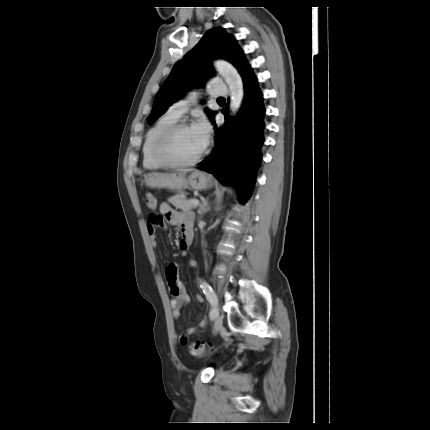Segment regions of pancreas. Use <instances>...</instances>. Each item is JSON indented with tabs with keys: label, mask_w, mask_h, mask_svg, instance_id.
I'll use <instances>...</instances> for the list:
<instances>
[{
	"label": "pancreas",
	"mask_w": 430,
	"mask_h": 430,
	"mask_svg": "<svg viewBox=\"0 0 430 430\" xmlns=\"http://www.w3.org/2000/svg\"><path fill=\"white\" fill-rule=\"evenodd\" d=\"M168 202H170L176 208H180L183 210H190L195 207L191 200H187L185 193H179L174 196L168 198Z\"/></svg>",
	"instance_id": "obj_1"
}]
</instances>
